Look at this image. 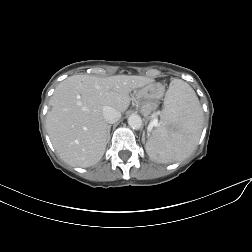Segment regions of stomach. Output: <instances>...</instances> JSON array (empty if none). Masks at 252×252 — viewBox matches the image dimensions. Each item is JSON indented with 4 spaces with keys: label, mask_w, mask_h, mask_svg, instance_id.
<instances>
[{
    "label": "stomach",
    "mask_w": 252,
    "mask_h": 252,
    "mask_svg": "<svg viewBox=\"0 0 252 252\" xmlns=\"http://www.w3.org/2000/svg\"><path fill=\"white\" fill-rule=\"evenodd\" d=\"M164 91L165 88L162 84L149 83L136 92V101L139 105L140 112L145 117H149L157 109L159 101L164 95ZM168 129L173 130L171 126H168Z\"/></svg>",
    "instance_id": "stomach-1"
}]
</instances>
